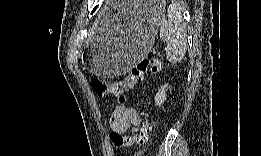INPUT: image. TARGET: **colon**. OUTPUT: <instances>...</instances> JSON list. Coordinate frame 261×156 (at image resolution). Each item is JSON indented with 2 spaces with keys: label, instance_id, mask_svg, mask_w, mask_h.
Listing matches in <instances>:
<instances>
[{
  "label": "colon",
  "instance_id": "5ec220e1",
  "mask_svg": "<svg viewBox=\"0 0 261 156\" xmlns=\"http://www.w3.org/2000/svg\"><path fill=\"white\" fill-rule=\"evenodd\" d=\"M160 70L161 62L159 60L143 59L136 64L126 81L110 82L101 79H93L91 81V88L99 97L114 95L117 97L119 103L124 105L127 93L135 87L137 82L143 78L145 73L149 72L151 74H157ZM145 116L147 115L145 114ZM150 131L151 124L148 120H145L137 133L130 136H123L120 133L112 132L109 135V139L113 148L116 151H119L133 145L145 144L148 140Z\"/></svg>",
  "mask_w": 261,
  "mask_h": 156
}]
</instances>
